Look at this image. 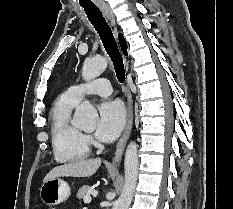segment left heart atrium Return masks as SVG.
<instances>
[{"label":"left heart atrium","instance_id":"1","mask_svg":"<svg viewBox=\"0 0 233 209\" xmlns=\"http://www.w3.org/2000/svg\"><path fill=\"white\" fill-rule=\"evenodd\" d=\"M125 123V111L116 100L104 101L98 108L96 137L103 142H110L118 137Z\"/></svg>","mask_w":233,"mask_h":209}]
</instances>
